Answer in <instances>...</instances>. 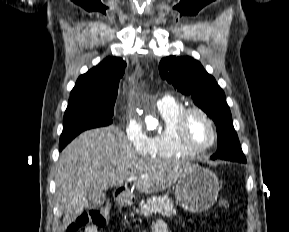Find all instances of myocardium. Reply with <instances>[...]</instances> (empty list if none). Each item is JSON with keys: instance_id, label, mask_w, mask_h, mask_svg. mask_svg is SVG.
Masks as SVG:
<instances>
[{"instance_id": "myocardium-1", "label": "myocardium", "mask_w": 289, "mask_h": 232, "mask_svg": "<svg viewBox=\"0 0 289 232\" xmlns=\"http://www.w3.org/2000/svg\"><path fill=\"white\" fill-rule=\"evenodd\" d=\"M192 114H199L200 116H202L207 123L209 124L210 128H211V132H212V137L211 140L204 145L201 146H197L192 144L188 138H187V121L188 118L190 117V115ZM175 134L176 137L179 141V143L186 149L194 152V153H200L203 152L207 149H209L210 147H212L214 145V143L217 140V129H216V125L213 121V119L201 108L199 107H186L184 108L180 114L177 117L176 123H175Z\"/></svg>"}]
</instances>
